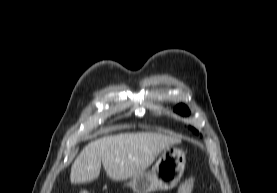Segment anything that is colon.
I'll return each instance as SVG.
<instances>
[{"label": "colon", "instance_id": "obj_1", "mask_svg": "<svg viewBox=\"0 0 277 193\" xmlns=\"http://www.w3.org/2000/svg\"><path fill=\"white\" fill-rule=\"evenodd\" d=\"M195 185V179L194 177H189L187 180H185L176 193H192ZM79 193H89L88 191H80Z\"/></svg>", "mask_w": 277, "mask_h": 193}]
</instances>
